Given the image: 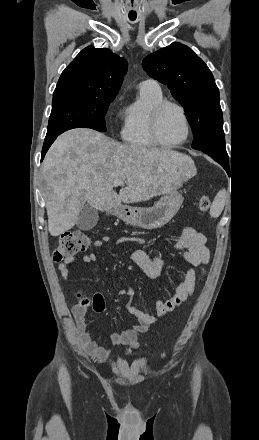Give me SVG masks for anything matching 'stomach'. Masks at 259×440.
<instances>
[{
    "mask_svg": "<svg viewBox=\"0 0 259 440\" xmlns=\"http://www.w3.org/2000/svg\"><path fill=\"white\" fill-rule=\"evenodd\" d=\"M183 197L176 190L165 194L152 207H134L120 205L113 210V214L127 224L144 229H158L166 225L177 213Z\"/></svg>",
    "mask_w": 259,
    "mask_h": 440,
    "instance_id": "0dacf381",
    "label": "stomach"
}]
</instances>
